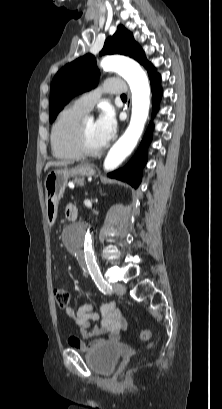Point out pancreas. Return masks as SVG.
<instances>
[{"mask_svg": "<svg viewBox=\"0 0 222 409\" xmlns=\"http://www.w3.org/2000/svg\"><path fill=\"white\" fill-rule=\"evenodd\" d=\"M74 182L77 183V184H79V185H82V184H84V179H83V178H76V179L74 180Z\"/></svg>", "mask_w": 222, "mask_h": 409, "instance_id": "1", "label": "pancreas"}]
</instances>
